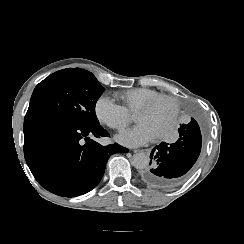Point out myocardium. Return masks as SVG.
<instances>
[{"mask_svg": "<svg viewBox=\"0 0 244 244\" xmlns=\"http://www.w3.org/2000/svg\"><path fill=\"white\" fill-rule=\"evenodd\" d=\"M126 90H127V89H126ZM131 90H132V89L127 90V91H131ZM155 102H159V103L167 102V103L171 104V107H172V114H171V117H169V118L167 119V130H168V128L172 125V123H173V121H174V118H175V115H176V110H177V104H176V102H175L172 98H170V97H152V99H149V101H144V102L142 103V106L139 107V108H137V109L134 111V113H135V115H136L138 112H147L148 107H149L150 105L155 104ZM135 120H136V118H135ZM136 122H138V121L136 120ZM167 130H166V131H167ZM165 133H166V132H165ZM165 133H164L162 136H160V137H163V136L165 135Z\"/></svg>", "mask_w": 244, "mask_h": 244, "instance_id": "1", "label": "myocardium"}]
</instances>
